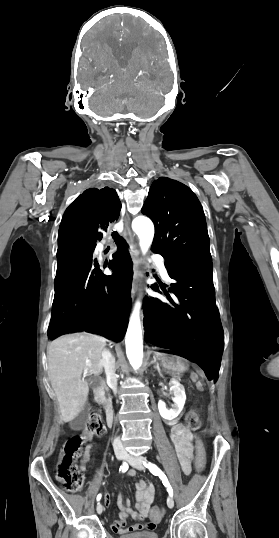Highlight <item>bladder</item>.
Listing matches in <instances>:
<instances>
[{
	"mask_svg": "<svg viewBox=\"0 0 279 538\" xmlns=\"http://www.w3.org/2000/svg\"><path fill=\"white\" fill-rule=\"evenodd\" d=\"M122 538H160L159 532H123Z\"/></svg>",
	"mask_w": 279,
	"mask_h": 538,
	"instance_id": "1",
	"label": "bladder"
}]
</instances>
